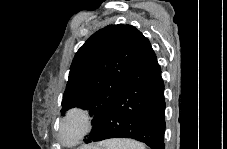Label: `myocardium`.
<instances>
[{"label":"myocardium","mask_w":227,"mask_h":149,"mask_svg":"<svg viewBox=\"0 0 227 149\" xmlns=\"http://www.w3.org/2000/svg\"><path fill=\"white\" fill-rule=\"evenodd\" d=\"M91 117L82 108H71L61 118L58 139L66 146L78 144L91 130Z\"/></svg>","instance_id":"myocardium-1"}]
</instances>
